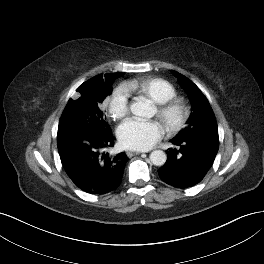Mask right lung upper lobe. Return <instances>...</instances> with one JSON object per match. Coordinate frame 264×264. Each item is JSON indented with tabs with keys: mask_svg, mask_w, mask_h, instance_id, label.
<instances>
[{
	"mask_svg": "<svg viewBox=\"0 0 264 264\" xmlns=\"http://www.w3.org/2000/svg\"><path fill=\"white\" fill-rule=\"evenodd\" d=\"M114 74H116V73L106 74L104 77H103L102 75H98V76H96V77H94V78L102 77L103 79H108V78H110L111 76H113Z\"/></svg>",
	"mask_w": 264,
	"mask_h": 264,
	"instance_id": "1",
	"label": "right lung upper lobe"
}]
</instances>
